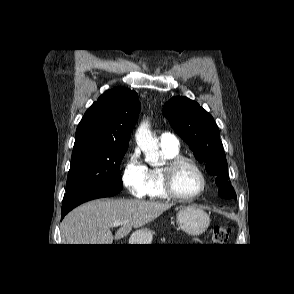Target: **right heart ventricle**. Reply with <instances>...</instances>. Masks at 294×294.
<instances>
[{
    "label": "right heart ventricle",
    "instance_id": "e07e8e85",
    "mask_svg": "<svg viewBox=\"0 0 294 294\" xmlns=\"http://www.w3.org/2000/svg\"><path fill=\"white\" fill-rule=\"evenodd\" d=\"M166 160L179 156V149L161 147ZM147 196L155 200H168L170 197L163 188L162 167L148 169Z\"/></svg>",
    "mask_w": 294,
    "mask_h": 294
}]
</instances>
